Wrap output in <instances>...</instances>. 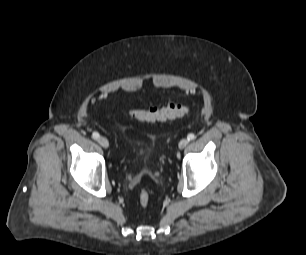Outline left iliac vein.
I'll list each match as a JSON object with an SVG mask.
<instances>
[{"mask_svg": "<svg viewBox=\"0 0 306 255\" xmlns=\"http://www.w3.org/2000/svg\"><path fill=\"white\" fill-rule=\"evenodd\" d=\"M189 143V140L186 138H183L180 142H179V149H184Z\"/></svg>", "mask_w": 306, "mask_h": 255, "instance_id": "4c4485c4", "label": "left iliac vein"}]
</instances>
